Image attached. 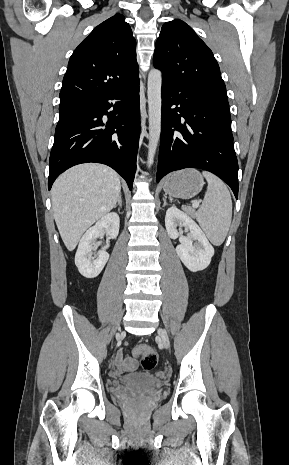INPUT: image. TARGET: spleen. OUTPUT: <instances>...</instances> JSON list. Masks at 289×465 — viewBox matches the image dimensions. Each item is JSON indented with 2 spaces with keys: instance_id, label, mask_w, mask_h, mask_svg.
<instances>
[{
  "instance_id": "1",
  "label": "spleen",
  "mask_w": 289,
  "mask_h": 465,
  "mask_svg": "<svg viewBox=\"0 0 289 465\" xmlns=\"http://www.w3.org/2000/svg\"><path fill=\"white\" fill-rule=\"evenodd\" d=\"M203 176L208 187L202 206L194 216L210 242L220 246L227 236L232 220L231 195L218 177L209 172H203Z\"/></svg>"
}]
</instances>
